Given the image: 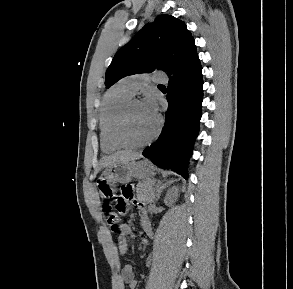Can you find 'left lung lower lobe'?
I'll use <instances>...</instances> for the list:
<instances>
[{"instance_id": "0a47b994", "label": "left lung lower lobe", "mask_w": 293, "mask_h": 289, "mask_svg": "<svg viewBox=\"0 0 293 289\" xmlns=\"http://www.w3.org/2000/svg\"><path fill=\"white\" fill-rule=\"evenodd\" d=\"M170 77L165 125L157 141L143 151V156L165 169H172L187 179V166L199 132L203 100L202 67L198 54ZM176 91V95L174 92Z\"/></svg>"}]
</instances>
